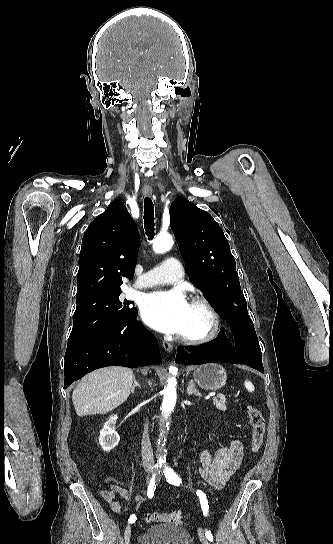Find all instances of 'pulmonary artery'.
Instances as JSON below:
<instances>
[{"mask_svg":"<svg viewBox=\"0 0 333 544\" xmlns=\"http://www.w3.org/2000/svg\"><path fill=\"white\" fill-rule=\"evenodd\" d=\"M183 267L173 257L165 259L160 265L142 275L135 283L136 287L147 288L160 284H171L183 278Z\"/></svg>","mask_w":333,"mask_h":544,"instance_id":"1","label":"pulmonary artery"}]
</instances>
